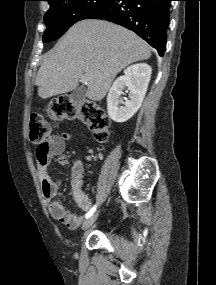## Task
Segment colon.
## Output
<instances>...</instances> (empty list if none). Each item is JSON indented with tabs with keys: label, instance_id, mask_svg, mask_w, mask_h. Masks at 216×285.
<instances>
[{
	"label": "colon",
	"instance_id": "5ec220e1",
	"mask_svg": "<svg viewBox=\"0 0 216 285\" xmlns=\"http://www.w3.org/2000/svg\"><path fill=\"white\" fill-rule=\"evenodd\" d=\"M47 113L55 121L81 119L98 142H105L109 138L110 120L105 111L93 101L85 100L78 103L67 96L59 97L48 104ZM29 137L38 148L47 147L50 127L43 115L31 114Z\"/></svg>",
	"mask_w": 216,
	"mask_h": 285
}]
</instances>
